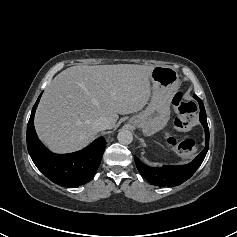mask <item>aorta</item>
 Segmentation results:
<instances>
[{"mask_svg":"<svg viewBox=\"0 0 237 237\" xmlns=\"http://www.w3.org/2000/svg\"><path fill=\"white\" fill-rule=\"evenodd\" d=\"M117 139L119 143L123 145H128L133 141V135L131 131L127 129H121L118 133Z\"/></svg>","mask_w":237,"mask_h":237,"instance_id":"762f6f07","label":"aorta"}]
</instances>
